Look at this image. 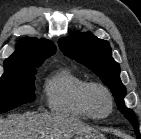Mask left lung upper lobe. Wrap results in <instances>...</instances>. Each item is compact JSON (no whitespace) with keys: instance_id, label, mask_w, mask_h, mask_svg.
I'll return each instance as SVG.
<instances>
[{"instance_id":"left-lung-upper-lobe-1","label":"left lung upper lobe","mask_w":141,"mask_h":139,"mask_svg":"<svg viewBox=\"0 0 141 139\" xmlns=\"http://www.w3.org/2000/svg\"><path fill=\"white\" fill-rule=\"evenodd\" d=\"M58 44L66 56L88 67L110 88L118 109L131 122L137 137H141L134 112L125 107L126 88L120 80V67L111 56L109 43L88 32L61 38Z\"/></svg>"}]
</instances>
